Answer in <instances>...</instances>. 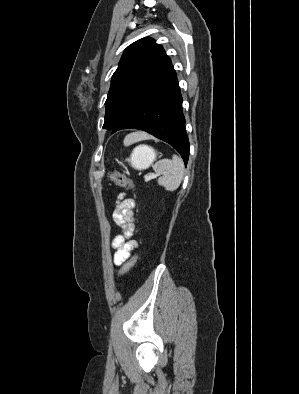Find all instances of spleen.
Here are the masks:
<instances>
[{
	"mask_svg": "<svg viewBox=\"0 0 299 394\" xmlns=\"http://www.w3.org/2000/svg\"><path fill=\"white\" fill-rule=\"evenodd\" d=\"M153 169L160 176L158 178V184L163 186L167 191L176 190L183 180L184 163L177 155H173L171 160H159L154 164Z\"/></svg>",
	"mask_w": 299,
	"mask_h": 394,
	"instance_id": "1",
	"label": "spleen"
}]
</instances>
